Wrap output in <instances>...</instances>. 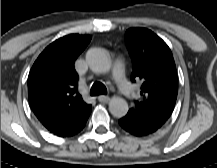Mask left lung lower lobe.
<instances>
[{
	"label": "left lung lower lobe",
	"mask_w": 217,
	"mask_h": 168,
	"mask_svg": "<svg viewBox=\"0 0 217 168\" xmlns=\"http://www.w3.org/2000/svg\"><path fill=\"white\" fill-rule=\"evenodd\" d=\"M119 125L128 133L141 137L147 136L159 130L162 126L157 124H152L148 122H143L136 119L130 114H127L119 120Z\"/></svg>",
	"instance_id": "left-lung-lower-lobe-1"
}]
</instances>
